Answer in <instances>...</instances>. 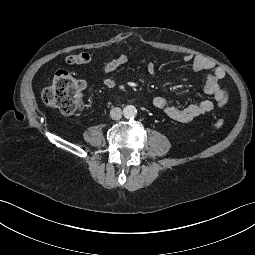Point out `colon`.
<instances>
[{
    "mask_svg": "<svg viewBox=\"0 0 255 255\" xmlns=\"http://www.w3.org/2000/svg\"><path fill=\"white\" fill-rule=\"evenodd\" d=\"M79 82L67 71L55 72L51 84L41 94L42 101L50 108L57 109L63 114H79L83 110ZM222 119H217L215 126L221 128Z\"/></svg>",
    "mask_w": 255,
    "mask_h": 255,
    "instance_id": "5ec220e1",
    "label": "colon"
}]
</instances>
